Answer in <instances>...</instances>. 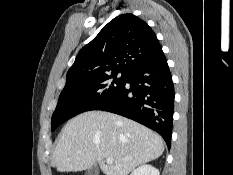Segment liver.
Returning a JSON list of instances; mask_svg holds the SVG:
<instances>
[{"label": "liver", "instance_id": "obj_1", "mask_svg": "<svg viewBox=\"0 0 233 175\" xmlns=\"http://www.w3.org/2000/svg\"><path fill=\"white\" fill-rule=\"evenodd\" d=\"M163 151L162 138L147 127L113 113L89 111L63 127L51 165L60 172H78L98 162L105 175H128ZM105 158L114 163L105 164Z\"/></svg>", "mask_w": 233, "mask_h": 175}]
</instances>
